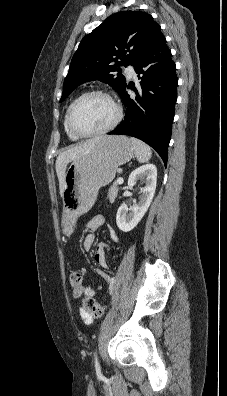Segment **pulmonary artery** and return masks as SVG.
Wrapping results in <instances>:
<instances>
[{
	"label": "pulmonary artery",
	"instance_id": "pulmonary-artery-1",
	"mask_svg": "<svg viewBox=\"0 0 227 396\" xmlns=\"http://www.w3.org/2000/svg\"><path fill=\"white\" fill-rule=\"evenodd\" d=\"M126 72H127V74H128L129 77H135V76H136L135 69H134V67H133L132 65H129V66L126 68Z\"/></svg>",
	"mask_w": 227,
	"mask_h": 396
}]
</instances>
